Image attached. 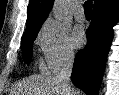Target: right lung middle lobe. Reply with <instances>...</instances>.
Instances as JSON below:
<instances>
[{"instance_id":"dd1d6c3e","label":"right lung middle lobe","mask_w":119,"mask_h":95,"mask_svg":"<svg viewBox=\"0 0 119 95\" xmlns=\"http://www.w3.org/2000/svg\"><path fill=\"white\" fill-rule=\"evenodd\" d=\"M40 28L31 30L29 32L24 33L22 36V51H23V58L24 61L28 64L31 61L32 58V46L33 42L39 32Z\"/></svg>"}]
</instances>
